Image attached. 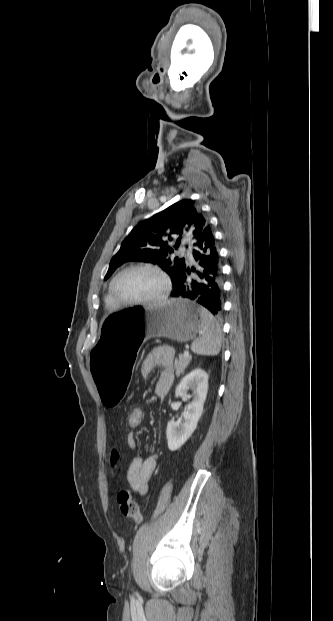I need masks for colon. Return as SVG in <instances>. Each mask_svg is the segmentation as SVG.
<instances>
[{
	"label": "colon",
	"instance_id": "obj_1",
	"mask_svg": "<svg viewBox=\"0 0 333 621\" xmlns=\"http://www.w3.org/2000/svg\"><path fill=\"white\" fill-rule=\"evenodd\" d=\"M143 418V412L140 408H132L126 414L127 424L135 428L140 425ZM117 503L121 514L136 523L141 521V514L139 506L135 500H133L130 492L126 489H122L117 494Z\"/></svg>",
	"mask_w": 333,
	"mask_h": 621
}]
</instances>
